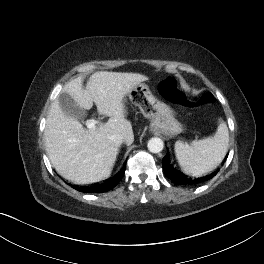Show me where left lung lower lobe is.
Here are the masks:
<instances>
[{
    "mask_svg": "<svg viewBox=\"0 0 264 264\" xmlns=\"http://www.w3.org/2000/svg\"><path fill=\"white\" fill-rule=\"evenodd\" d=\"M162 166H163L164 172L168 176V178L178 185L199 184V183H202L204 181L211 179L212 177H214L218 173V171H215L206 177L192 179V178L188 177L187 175L183 174L182 172H180L179 170H177L169 162V158L167 155L162 160Z\"/></svg>",
    "mask_w": 264,
    "mask_h": 264,
    "instance_id": "0a47b994",
    "label": "left lung lower lobe"
}]
</instances>
